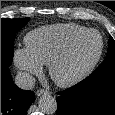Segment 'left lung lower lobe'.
<instances>
[{
    "instance_id": "1",
    "label": "left lung lower lobe",
    "mask_w": 115,
    "mask_h": 115,
    "mask_svg": "<svg viewBox=\"0 0 115 115\" xmlns=\"http://www.w3.org/2000/svg\"><path fill=\"white\" fill-rule=\"evenodd\" d=\"M57 94L56 115H115V71L91 74Z\"/></svg>"
}]
</instances>
